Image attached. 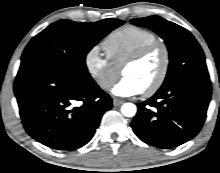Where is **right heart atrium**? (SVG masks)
Returning a JSON list of instances; mask_svg holds the SVG:
<instances>
[{
	"label": "right heart atrium",
	"instance_id": "right-heart-atrium-1",
	"mask_svg": "<svg viewBox=\"0 0 220 173\" xmlns=\"http://www.w3.org/2000/svg\"><path fill=\"white\" fill-rule=\"evenodd\" d=\"M84 66L89 77L104 91L112 87L120 74V69L102 55L98 46H93L86 52Z\"/></svg>",
	"mask_w": 220,
	"mask_h": 173
}]
</instances>
